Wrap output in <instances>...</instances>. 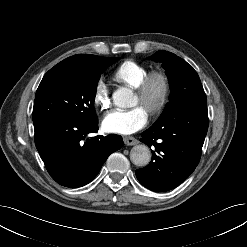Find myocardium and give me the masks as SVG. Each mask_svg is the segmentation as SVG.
Returning a JSON list of instances; mask_svg holds the SVG:
<instances>
[{
  "instance_id": "f54148a6",
  "label": "myocardium",
  "mask_w": 247,
  "mask_h": 247,
  "mask_svg": "<svg viewBox=\"0 0 247 247\" xmlns=\"http://www.w3.org/2000/svg\"><path fill=\"white\" fill-rule=\"evenodd\" d=\"M156 83H159L160 92L157 100L148 104L147 112L154 116L160 114L168 103L171 93V82L169 76L161 70L149 72L140 84L135 88L136 95L142 102H148L151 97V92Z\"/></svg>"
}]
</instances>
